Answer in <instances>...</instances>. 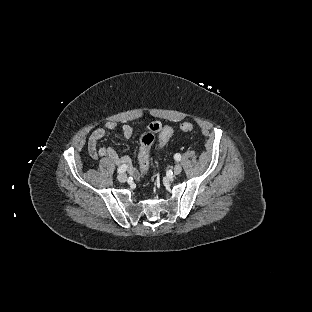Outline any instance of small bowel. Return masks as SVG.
<instances>
[{
    "label": "small bowel",
    "mask_w": 312,
    "mask_h": 312,
    "mask_svg": "<svg viewBox=\"0 0 312 312\" xmlns=\"http://www.w3.org/2000/svg\"><path fill=\"white\" fill-rule=\"evenodd\" d=\"M119 124L115 121H108L103 127L95 129L88 138L87 148L90 156L94 159L108 157L117 164H127L128 172L133 178H138L139 172L135 168L128 157L120 156L114 149L109 147H98L99 141L105 137L107 132L115 130ZM122 136L129 139L133 136L135 129L129 124L120 125Z\"/></svg>",
    "instance_id": "1"
}]
</instances>
